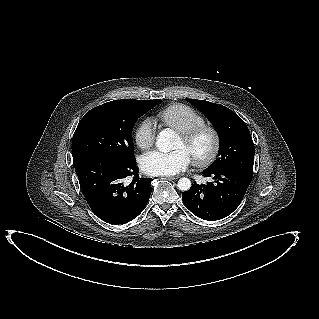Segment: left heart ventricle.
I'll return each instance as SVG.
<instances>
[{
	"label": "left heart ventricle",
	"instance_id": "obj_1",
	"mask_svg": "<svg viewBox=\"0 0 319 319\" xmlns=\"http://www.w3.org/2000/svg\"><path fill=\"white\" fill-rule=\"evenodd\" d=\"M176 148H184L190 155V157L204 156L210 148V139L207 134H202L196 138L193 142L187 144L179 136L175 144Z\"/></svg>",
	"mask_w": 319,
	"mask_h": 319
}]
</instances>
